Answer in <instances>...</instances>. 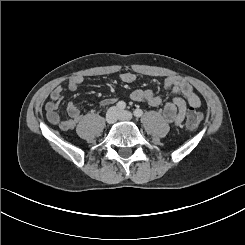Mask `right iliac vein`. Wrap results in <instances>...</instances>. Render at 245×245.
<instances>
[{
  "instance_id": "63e3f726",
  "label": "right iliac vein",
  "mask_w": 245,
  "mask_h": 245,
  "mask_svg": "<svg viewBox=\"0 0 245 245\" xmlns=\"http://www.w3.org/2000/svg\"><path fill=\"white\" fill-rule=\"evenodd\" d=\"M118 109L116 107H111L106 114V122L108 124H113L116 122L118 117Z\"/></svg>"
}]
</instances>
